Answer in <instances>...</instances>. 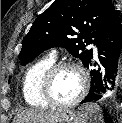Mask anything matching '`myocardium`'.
I'll list each match as a JSON object with an SVG mask.
<instances>
[{
    "instance_id": "obj_1",
    "label": "myocardium",
    "mask_w": 122,
    "mask_h": 123,
    "mask_svg": "<svg viewBox=\"0 0 122 123\" xmlns=\"http://www.w3.org/2000/svg\"><path fill=\"white\" fill-rule=\"evenodd\" d=\"M67 68L74 69L80 74L81 80H82L81 89L78 95L72 100L68 102H58L51 95L52 83H53V80L56 74L59 71L63 69H67ZM88 88H89L88 76L85 70L80 65L76 63H72V62H60V63H55L46 72L43 78V81H42L41 94H42L43 99L46 101L48 105L53 106V107H59V108H69V107L77 105L79 102L83 100V98L85 97L88 91Z\"/></svg>"
}]
</instances>
